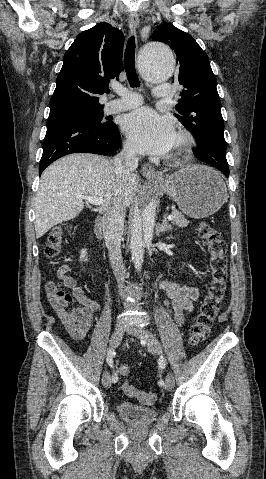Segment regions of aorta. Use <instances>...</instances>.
Listing matches in <instances>:
<instances>
[{"mask_svg": "<svg viewBox=\"0 0 266 479\" xmlns=\"http://www.w3.org/2000/svg\"><path fill=\"white\" fill-rule=\"evenodd\" d=\"M138 64L142 75L150 82L161 83L168 80L175 66L174 55L170 48L159 42H151L141 48ZM140 219L136 218L131 227L130 248L132 260L140 271L144 259L146 243L153 238L157 201L153 193L144 190L139 199Z\"/></svg>", "mask_w": 266, "mask_h": 479, "instance_id": "762f6f07", "label": "aorta"}]
</instances>
